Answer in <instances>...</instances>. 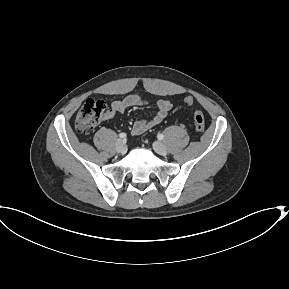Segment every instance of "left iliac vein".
<instances>
[{"label":"left iliac vein","mask_w":289,"mask_h":289,"mask_svg":"<svg viewBox=\"0 0 289 289\" xmlns=\"http://www.w3.org/2000/svg\"><path fill=\"white\" fill-rule=\"evenodd\" d=\"M153 149L155 150L156 153L160 155H164L167 153L166 146L162 142H159V141H156L153 143Z\"/></svg>","instance_id":"1"}]
</instances>
